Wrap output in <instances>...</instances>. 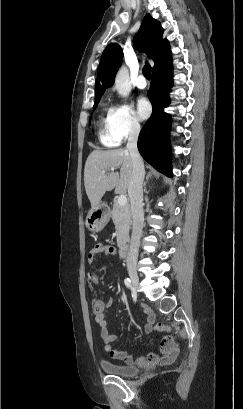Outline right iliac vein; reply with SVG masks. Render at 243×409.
I'll return each instance as SVG.
<instances>
[{
	"label": "right iliac vein",
	"mask_w": 243,
	"mask_h": 409,
	"mask_svg": "<svg viewBox=\"0 0 243 409\" xmlns=\"http://www.w3.org/2000/svg\"><path fill=\"white\" fill-rule=\"evenodd\" d=\"M128 273H129L130 280L136 289L139 283L138 274L134 268H128Z\"/></svg>",
	"instance_id": "63e3f726"
}]
</instances>
